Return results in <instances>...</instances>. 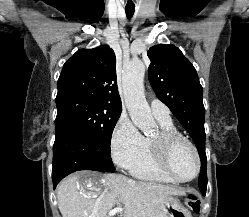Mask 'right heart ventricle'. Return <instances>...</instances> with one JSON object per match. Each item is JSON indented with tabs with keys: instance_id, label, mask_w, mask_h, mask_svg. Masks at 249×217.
Returning <instances> with one entry per match:
<instances>
[{
	"instance_id": "e07e8e85",
	"label": "right heart ventricle",
	"mask_w": 249,
	"mask_h": 217,
	"mask_svg": "<svg viewBox=\"0 0 249 217\" xmlns=\"http://www.w3.org/2000/svg\"><path fill=\"white\" fill-rule=\"evenodd\" d=\"M161 130L177 131L172 120L162 121L158 120ZM130 173L140 179L160 182V183H176L177 181L169 177L160 168L156 156L152 148V139L145 137L143 138V146L129 167Z\"/></svg>"
}]
</instances>
